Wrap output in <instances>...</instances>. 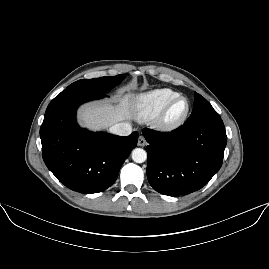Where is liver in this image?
<instances>
[{"mask_svg":"<svg viewBox=\"0 0 269 269\" xmlns=\"http://www.w3.org/2000/svg\"><path fill=\"white\" fill-rule=\"evenodd\" d=\"M129 103L124 101L120 104L121 113L102 109L100 105H92L82 110L80 117L83 124H89L94 127H106L115 124L128 115Z\"/></svg>","mask_w":269,"mask_h":269,"instance_id":"1","label":"liver"}]
</instances>
